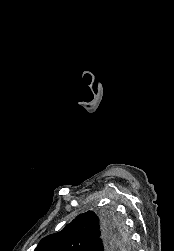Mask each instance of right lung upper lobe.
<instances>
[{
	"instance_id": "obj_1",
	"label": "right lung upper lobe",
	"mask_w": 174,
	"mask_h": 251,
	"mask_svg": "<svg viewBox=\"0 0 174 251\" xmlns=\"http://www.w3.org/2000/svg\"><path fill=\"white\" fill-rule=\"evenodd\" d=\"M102 217L93 211L77 216L71 223L57 233L44 237L35 251H94L102 235ZM124 237L119 233L112 245L114 250L123 248ZM99 251H104L100 248Z\"/></svg>"
}]
</instances>
